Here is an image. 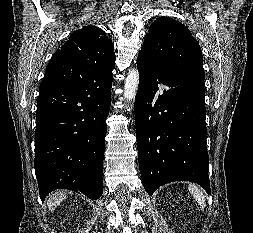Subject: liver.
<instances>
[{"mask_svg": "<svg viewBox=\"0 0 253 233\" xmlns=\"http://www.w3.org/2000/svg\"><path fill=\"white\" fill-rule=\"evenodd\" d=\"M66 192L64 191H57L55 193H53L50 198L48 199L47 201V206H48V209L50 211H53L55 210V208L57 206H59V204L66 199Z\"/></svg>", "mask_w": 253, "mask_h": 233, "instance_id": "liver-1", "label": "liver"}]
</instances>
